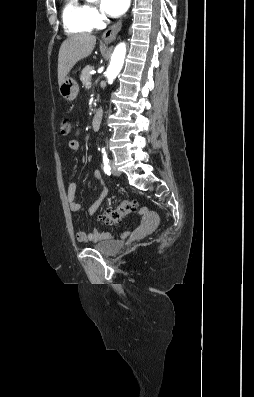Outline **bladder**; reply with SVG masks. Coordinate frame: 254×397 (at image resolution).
<instances>
[{"label":"bladder","instance_id":"1","mask_svg":"<svg viewBox=\"0 0 254 397\" xmlns=\"http://www.w3.org/2000/svg\"><path fill=\"white\" fill-rule=\"evenodd\" d=\"M94 249L105 256L116 255L122 248V243L115 239L101 241L95 244Z\"/></svg>","mask_w":254,"mask_h":397}]
</instances>
